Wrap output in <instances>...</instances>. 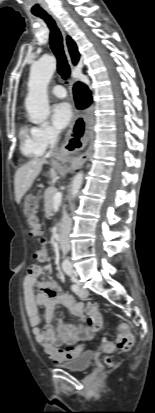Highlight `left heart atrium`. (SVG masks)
<instances>
[{"label":"left heart atrium","instance_id":"39dd6f15","mask_svg":"<svg viewBox=\"0 0 155 413\" xmlns=\"http://www.w3.org/2000/svg\"><path fill=\"white\" fill-rule=\"evenodd\" d=\"M73 118V111L70 104L61 102L53 107L52 122L56 129L62 130L68 126Z\"/></svg>","mask_w":155,"mask_h":413}]
</instances>
